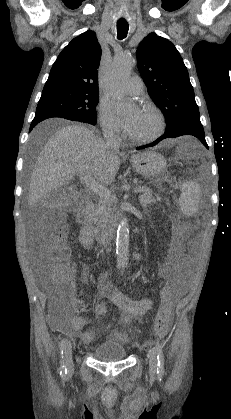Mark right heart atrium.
I'll return each instance as SVG.
<instances>
[{"label": "right heart atrium", "instance_id": "1", "mask_svg": "<svg viewBox=\"0 0 231 419\" xmlns=\"http://www.w3.org/2000/svg\"><path fill=\"white\" fill-rule=\"evenodd\" d=\"M98 118L103 131L107 135L119 136L123 133V126L107 101H100L98 105Z\"/></svg>", "mask_w": 231, "mask_h": 419}]
</instances>
